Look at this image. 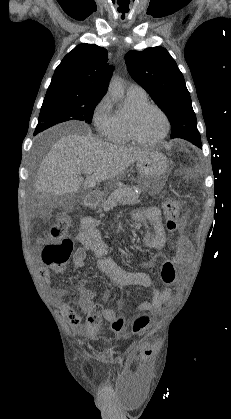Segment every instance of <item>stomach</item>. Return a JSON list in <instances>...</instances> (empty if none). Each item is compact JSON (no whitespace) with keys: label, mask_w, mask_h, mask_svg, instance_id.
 I'll return each mask as SVG.
<instances>
[{"label":"stomach","mask_w":231,"mask_h":419,"mask_svg":"<svg viewBox=\"0 0 231 419\" xmlns=\"http://www.w3.org/2000/svg\"><path fill=\"white\" fill-rule=\"evenodd\" d=\"M136 167L143 190L155 193L163 187L169 171V161L164 154L151 151L137 160Z\"/></svg>","instance_id":"0dacf381"}]
</instances>
